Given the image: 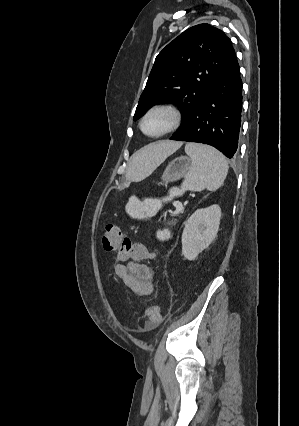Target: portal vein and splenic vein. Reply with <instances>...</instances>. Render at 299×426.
<instances>
[{
    "label": "portal vein and splenic vein",
    "mask_w": 299,
    "mask_h": 426,
    "mask_svg": "<svg viewBox=\"0 0 299 426\" xmlns=\"http://www.w3.org/2000/svg\"><path fill=\"white\" fill-rule=\"evenodd\" d=\"M173 205H174L176 208H182V203H180V202H174V203H173Z\"/></svg>",
    "instance_id": "portal-vein-and-splenic-vein-1"
}]
</instances>
